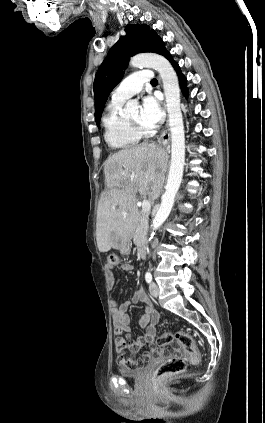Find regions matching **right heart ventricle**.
<instances>
[{
  "instance_id": "obj_1",
  "label": "right heart ventricle",
  "mask_w": 265,
  "mask_h": 423,
  "mask_svg": "<svg viewBox=\"0 0 265 423\" xmlns=\"http://www.w3.org/2000/svg\"><path fill=\"white\" fill-rule=\"evenodd\" d=\"M124 101L111 100L105 109L102 119L104 137L107 144L116 149L135 147L140 135L128 123L122 113Z\"/></svg>"
}]
</instances>
